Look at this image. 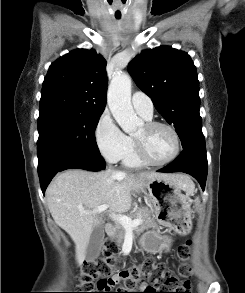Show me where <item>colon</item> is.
I'll return each instance as SVG.
<instances>
[{
	"label": "colon",
	"mask_w": 245,
	"mask_h": 293,
	"mask_svg": "<svg viewBox=\"0 0 245 293\" xmlns=\"http://www.w3.org/2000/svg\"><path fill=\"white\" fill-rule=\"evenodd\" d=\"M189 229V216H185L175 225V230L181 234ZM191 254L190 243L178 248L179 273L184 279L183 282H179L163 263H157L152 259L122 269L116 244L106 237L102 241L101 256L83 265L78 277L79 285L85 291L81 293H122L115 292L121 288L143 291L141 293H192L189 289V278L192 274ZM159 288L163 289L162 292H157ZM94 290L101 292H91Z\"/></svg>",
	"instance_id": "1"
}]
</instances>
